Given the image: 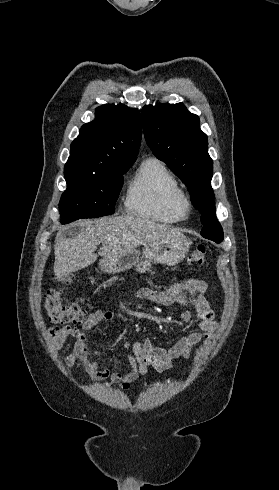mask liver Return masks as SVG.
I'll return each mask as SVG.
<instances>
[{
	"mask_svg": "<svg viewBox=\"0 0 279 490\" xmlns=\"http://www.w3.org/2000/svg\"><path fill=\"white\" fill-rule=\"evenodd\" d=\"M80 234L77 238H63L58 232L54 246V274L57 278L78 272L96 262L94 254L102 244L98 254L102 258H116L125 252L136 250L138 246L154 240H172L183 236L178 228L156 224L137 216H117L102 220H78Z\"/></svg>",
	"mask_w": 279,
	"mask_h": 490,
	"instance_id": "1",
	"label": "liver"
}]
</instances>
